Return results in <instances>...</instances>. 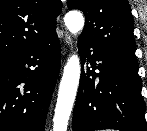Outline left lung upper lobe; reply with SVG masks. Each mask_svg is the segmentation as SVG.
Returning a JSON list of instances; mask_svg holds the SVG:
<instances>
[{
    "instance_id": "1",
    "label": "left lung upper lobe",
    "mask_w": 147,
    "mask_h": 131,
    "mask_svg": "<svg viewBox=\"0 0 147 131\" xmlns=\"http://www.w3.org/2000/svg\"><path fill=\"white\" fill-rule=\"evenodd\" d=\"M70 10L85 15L79 39L138 67L135 56L134 22L128 0H68Z\"/></svg>"
}]
</instances>
